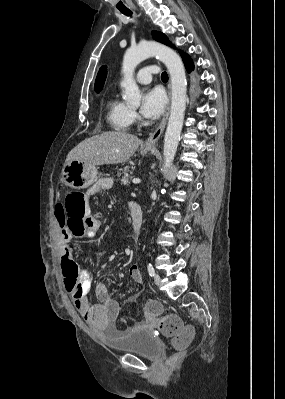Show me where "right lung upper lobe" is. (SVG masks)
<instances>
[{"instance_id": "right-lung-upper-lobe-1", "label": "right lung upper lobe", "mask_w": 285, "mask_h": 399, "mask_svg": "<svg viewBox=\"0 0 285 399\" xmlns=\"http://www.w3.org/2000/svg\"><path fill=\"white\" fill-rule=\"evenodd\" d=\"M106 76H107V67L102 66L96 77L95 86H94L95 92L99 93L102 90Z\"/></svg>"}]
</instances>
